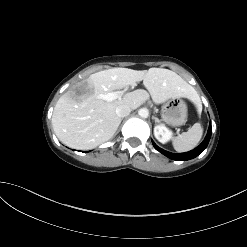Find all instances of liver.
Returning <instances> with one entry per match:
<instances>
[{
	"label": "liver",
	"instance_id": "obj_1",
	"mask_svg": "<svg viewBox=\"0 0 247 247\" xmlns=\"http://www.w3.org/2000/svg\"><path fill=\"white\" fill-rule=\"evenodd\" d=\"M143 81L146 90L137 89L122 98L105 101L100 95L127 86H135ZM84 86L87 91L76 96L74 90H68L57 101L52 125L58 139L75 149H92L108 141L121 123L116 108L126 104L137 109L151 96L156 104L171 98L199 99L195 90L175 72L163 68L132 70L112 68L91 74Z\"/></svg>",
	"mask_w": 247,
	"mask_h": 247
}]
</instances>
